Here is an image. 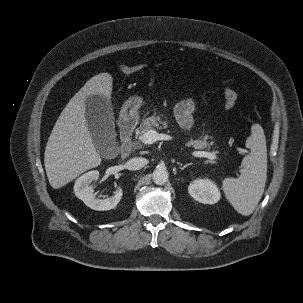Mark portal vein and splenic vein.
Instances as JSON below:
<instances>
[{"label":"portal vein and splenic vein","mask_w":303,"mask_h":303,"mask_svg":"<svg viewBox=\"0 0 303 303\" xmlns=\"http://www.w3.org/2000/svg\"><path fill=\"white\" fill-rule=\"evenodd\" d=\"M157 140H172V136L166 135V134H159L155 130H149L145 132L141 136V141L143 144H153ZM194 157H205L210 160H217L218 157L215 155V153L207 152V151H193L191 153Z\"/></svg>","instance_id":"18ae733b"}]
</instances>
